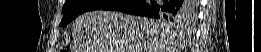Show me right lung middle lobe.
Here are the masks:
<instances>
[{"mask_svg": "<svg viewBox=\"0 0 261 52\" xmlns=\"http://www.w3.org/2000/svg\"><path fill=\"white\" fill-rule=\"evenodd\" d=\"M113 0H67L63 6V19L60 23V26H64L71 22L76 16L91 10H99L110 4ZM186 11L181 15L169 17V16H160L158 17L160 21H165L172 24L173 22L181 23L183 22L186 14L191 11L193 4L191 2H186ZM157 18V19H158ZM167 20V21H166Z\"/></svg>", "mask_w": 261, "mask_h": 52, "instance_id": "1", "label": "right lung middle lobe"}]
</instances>
